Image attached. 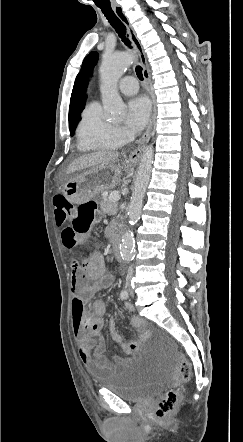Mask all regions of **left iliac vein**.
I'll use <instances>...</instances> for the list:
<instances>
[{
	"instance_id": "left-iliac-vein-1",
	"label": "left iliac vein",
	"mask_w": 243,
	"mask_h": 442,
	"mask_svg": "<svg viewBox=\"0 0 243 442\" xmlns=\"http://www.w3.org/2000/svg\"><path fill=\"white\" fill-rule=\"evenodd\" d=\"M129 294H130L131 297H134V292H133L132 288L129 289Z\"/></svg>"
}]
</instances>
